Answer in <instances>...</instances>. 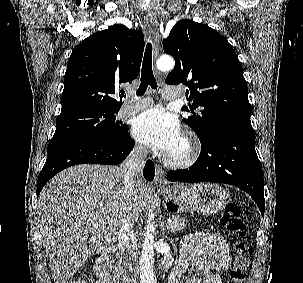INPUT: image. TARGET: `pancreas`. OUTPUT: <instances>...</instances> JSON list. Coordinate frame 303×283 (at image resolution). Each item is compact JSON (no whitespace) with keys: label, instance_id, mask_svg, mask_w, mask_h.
I'll use <instances>...</instances> for the list:
<instances>
[{"label":"pancreas","instance_id":"obj_1","mask_svg":"<svg viewBox=\"0 0 303 283\" xmlns=\"http://www.w3.org/2000/svg\"><path fill=\"white\" fill-rule=\"evenodd\" d=\"M171 220H172V223H171V225H172L171 230L172 231L182 230L186 226V220L181 215H172Z\"/></svg>","mask_w":303,"mask_h":283}]
</instances>
